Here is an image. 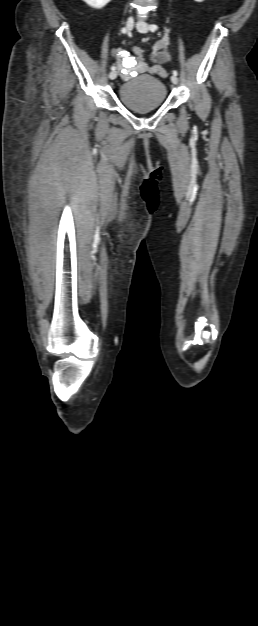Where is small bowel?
Segmentation results:
<instances>
[{
  "label": "small bowel",
  "instance_id": "c3829d8e",
  "mask_svg": "<svg viewBox=\"0 0 258 626\" xmlns=\"http://www.w3.org/2000/svg\"><path fill=\"white\" fill-rule=\"evenodd\" d=\"M167 41L166 39H162L156 44V51H166ZM113 55L117 59L118 63L123 69H127V63L134 62L135 66L140 65V61L132 56H130L126 51L121 49H114ZM150 73L159 74L161 76H166L165 71L160 66H152L149 68Z\"/></svg>",
  "mask_w": 258,
  "mask_h": 626
}]
</instances>
